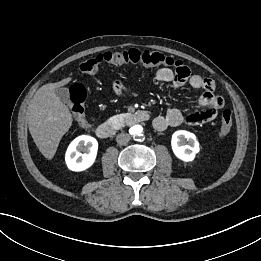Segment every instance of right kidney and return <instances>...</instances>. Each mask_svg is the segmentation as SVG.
Masks as SVG:
<instances>
[{"label": "right kidney", "instance_id": "right-kidney-1", "mask_svg": "<svg viewBox=\"0 0 261 261\" xmlns=\"http://www.w3.org/2000/svg\"><path fill=\"white\" fill-rule=\"evenodd\" d=\"M98 150V142L94 137L81 135L75 138L69 145L65 161L72 171H83L95 162ZM83 151L85 153H80Z\"/></svg>", "mask_w": 261, "mask_h": 261}]
</instances>
